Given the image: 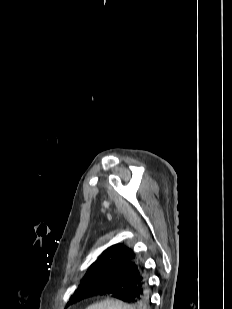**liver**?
I'll return each instance as SVG.
<instances>
[{"label":"liver","mask_w":232,"mask_h":309,"mask_svg":"<svg viewBox=\"0 0 232 309\" xmlns=\"http://www.w3.org/2000/svg\"><path fill=\"white\" fill-rule=\"evenodd\" d=\"M86 309H135L134 306L124 304L119 300L107 299L99 303L92 304Z\"/></svg>","instance_id":"liver-1"}]
</instances>
